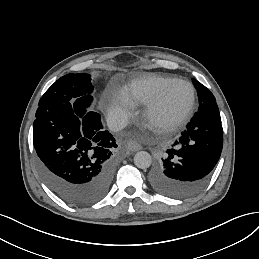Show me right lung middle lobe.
<instances>
[{"instance_id": "1", "label": "right lung middle lobe", "mask_w": 259, "mask_h": 259, "mask_svg": "<svg viewBox=\"0 0 259 259\" xmlns=\"http://www.w3.org/2000/svg\"><path fill=\"white\" fill-rule=\"evenodd\" d=\"M92 91L90 74H67L44 93L38 105L71 103L76 111L84 114L92 102Z\"/></svg>"}]
</instances>
